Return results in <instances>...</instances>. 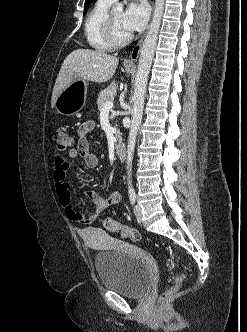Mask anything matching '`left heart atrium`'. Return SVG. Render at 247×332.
<instances>
[{
  "mask_svg": "<svg viewBox=\"0 0 247 332\" xmlns=\"http://www.w3.org/2000/svg\"><path fill=\"white\" fill-rule=\"evenodd\" d=\"M149 10L144 3H130L123 13L122 23L124 28L129 32L139 31L147 23Z\"/></svg>",
  "mask_w": 247,
  "mask_h": 332,
  "instance_id": "left-heart-atrium-1",
  "label": "left heart atrium"
}]
</instances>
